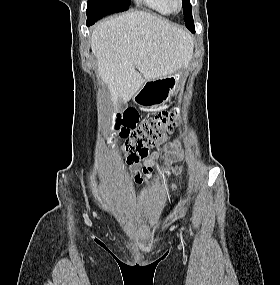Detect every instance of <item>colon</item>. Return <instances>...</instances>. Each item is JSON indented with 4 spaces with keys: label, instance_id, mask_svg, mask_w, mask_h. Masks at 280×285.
Instances as JSON below:
<instances>
[{
    "label": "colon",
    "instance_id": "1",
    "mask_svg": "<svg viewBox=\"0 0 280 285\" xmlns=\"http://www.w3.org/2000/svg\"><path fill=\"white\" fill-rule=\"evenodd\" d=\"M135 109H128L118 120L122 124L120 137L125 140V150L129 153L128 161L136 162L146 156L148 148L166 133H172L178 125V111L164 110L149 118L141 125ZM177 188V185H174Z\"/></svg>",
    "mask_w": 280,
    "mask_h": 285
}]
</instances>
